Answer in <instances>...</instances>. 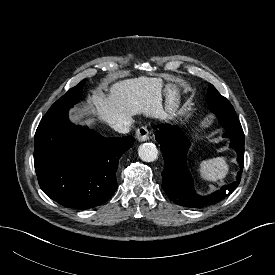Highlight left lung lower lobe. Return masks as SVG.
Wrapping results in <instances>:
<instances>
[{
	"label": "left lung lower lobe",
	"mask_w": 275,
	"mask_h": 275,
	"mask_svg": "<svg viewBox=\"0 0 275 275\" xmlns=\"http://www.w3.org/2000/svg\"><path fill=\"white\" fill-rule=\"evenodd\" d=\"M226 129L223 137L231 139L230 147L237 151V161L240 165L244 160V133L241 124H222ZM161 146L164 158L162 172V188L177 205L190 208H201L216 204L226 198L240 183L242 170L237 179L230 185L223 186L218 191L199 196L193 190V181L186 165L187 151L190 145L184 132L176 125L165 124L155 136Z\"/></svg>",
	"instance_id": "0a47b994"
}]
</instances>
